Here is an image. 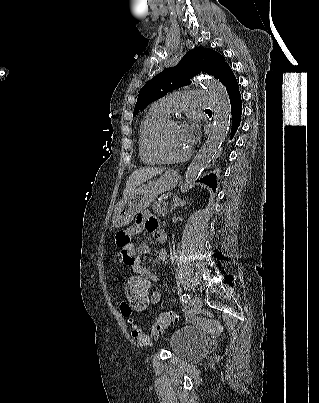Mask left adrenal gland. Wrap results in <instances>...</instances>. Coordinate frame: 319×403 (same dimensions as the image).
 Instances as JSON below:
<instances>
[{"label": "left adrenal gland", "mask_w": 319, "mask_h": 403, "mask_svg": "<svg viewBox=\"0 0 319 403\" xmlns=\"http://www.w3.org/2000/svg\"><path fill=\"white\" fill-rule=\"evenodd\" d=\"M186 204L185 201L179 199L178 197L173 198V205L171 206L170 212L172 213L179 206H184Z\"/></svg>", "instance_id": "left-adrenal-gland-1"}]
</instances>
